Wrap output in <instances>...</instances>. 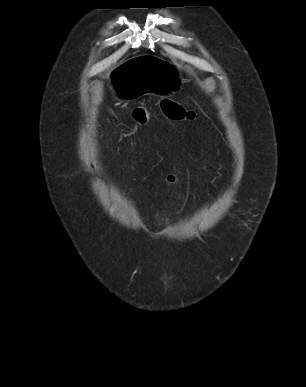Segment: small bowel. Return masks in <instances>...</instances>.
Returning <instances> with one entry per match:
<instances>
[{
    "label": "small bowel",
    "mask_w": 306,
    "mask_h": 387,
    "mask_svg": "<svg viewBox=\"0 0 306 387\" xmlns=\"http://www.w3.org/2000/svg\"><path fill=\"white\" fill-rule=\"evenodd\" d=\"M166 182L168 185H175L179 182V175L177 173H170L166 177Z\"/></svg>",
    "instance_id": "c3829d8e"
}]
</instances>
